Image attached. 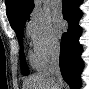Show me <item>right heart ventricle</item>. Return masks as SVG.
Masks as SVG:
<instances>
[{
  "instance_id": "obj_1",
  "label": "right heart ventricle",
  "mask_w": 89,
  "mask_h": 89,
  "mask_svg": "<svg viewBox=\"0 0 89 89\" xmlns=\"http://www.w3.org/2000/svg\"><path fill=\"white\" fill-rule=\"evenodd\" d=\"M30 61H31V64L35 68H39L40 69V68H43L45 66V64L42 63L35 54H31L30 55Z\"/></svg>"
}]
</instances>
